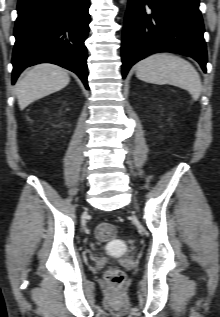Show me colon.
<instances>
[{"label": "colon", "mask_w": 220, "mask_h": 317, "mask_svg": "<svg viewBox=\"0 0 220 317\" xmlns=\"http://www.w3.org/2000/svg\"><path fill=\"white\" fill-rule=\"evenodd\" d=\"M115 235V228L112 224L102 222L96 226L95 236L99 241L105 242ZM104 279L109 289L117 291L125 283V273L117 268H110L104 274Z\"/></svg>", "instance_id": "colon-1"}]
</instances>
